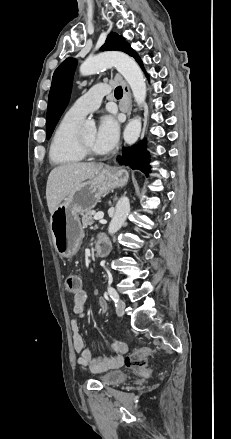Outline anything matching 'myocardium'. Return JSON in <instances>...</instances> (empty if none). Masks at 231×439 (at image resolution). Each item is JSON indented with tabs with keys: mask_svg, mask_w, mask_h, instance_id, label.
<instances>
[{
	"mask_svg": "<svg viewBox=\"0 0 231 439\" xmlns=\"http://www.w3.org/2000/svg\"><path fill=\"white\" fill-rule=\"evenodd\" d=\"M76 142L80 151L85 155V157H99L102 153L96 152L91 147H89L83 140L81 133L77 132Z\"/></svg>",
	"mask_w": 231,
	"mask_h": 439,
	"instance_id": "f54148a6",
	"label": "myocardium"
}]
</instances>
